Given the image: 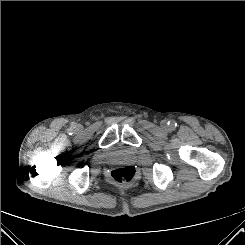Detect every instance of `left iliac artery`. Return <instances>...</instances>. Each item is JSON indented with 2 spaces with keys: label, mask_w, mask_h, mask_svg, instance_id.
<instances>
[{
  "label": "left iliac artery",
  "mask_w": 245,
  "mask_h": 245,
  "mask_svg": "<svg viewBox=\"0 0 245 245\" xmlns=\"http://www.w3.org/2000/svg\"><path fill=\"white\" fill-rule=\"evenodd\" d=\"M168 125L170 126V128H175L177 126V123L174 120H171L168 122Z\"/></svg>",
  "instance_id": "44dca946"
}]
</instances>
